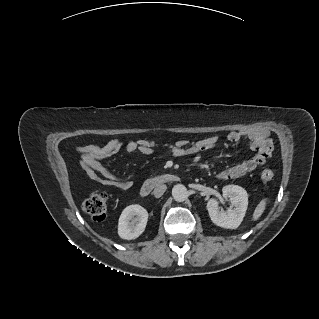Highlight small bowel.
<instances>
[{"mask_svg": "<svg viewBox=\"0 0 319 319\" xmlns=\"http://www.w3.org/2000/svg\"><path fill=\"white\" fill-rule=\"evenodd\" d=\"M245 136L239 131H231L227 139L232 143L239 142ZM253 155L239 163L226 167L217 173L220 180L236 179L247 173L254 171L258 166L266 162L265 157L257 147L264 140L268 139V133L247 134ZM218 136L212 135L195 142L178 140L173 143L159 144L150 140H134L123 143L118 139H112L103 145H85L77 147V152L81 155L80 165L87 177L102 185L112 186L120 189H129L132 186L130 177L118 176L112 173L102 164V160L112 157L124 150L128 153L139 151L148 155L159 147L166 148L174 157H184L204 153L217 145Z\"/></svg>", "mask_w": 319, "mask_h": 319, "instance_id": "small-bowel-1", "label": "small bowel"}]
</instances>
